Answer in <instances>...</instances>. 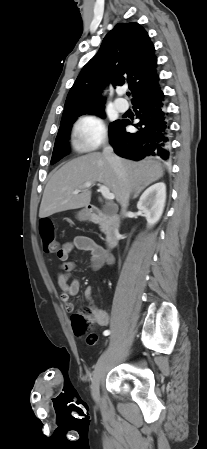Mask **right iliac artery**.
Segmentation results:
<instances>
[{
  "instance_id": "right-iliac-artery-1",
  "label": "right iliac artery",
  "mask_w": 207,
  "mask_h": 449,
  "mask_svg": "<svg viewBox=\"0 0 207 449\" xmlns=\"http://www.w3.org/2000/svg\"><path fill=\"white\" fill-rule=\"evenodd\" d=\"M103 334H104L105 336H108V335L110 334V331H109V330H105V331L103 332Z\"/></svg>"
}]
</instances>
